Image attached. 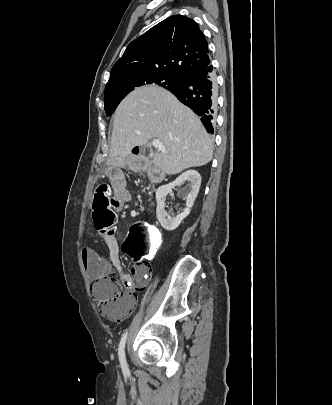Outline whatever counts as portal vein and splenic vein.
Here are the masks:
<instances>
[{"instance_id": "portal-vein-and-splenic-vein-1", "label": "portal vein and splenic vein", "mask_w": 332, "mask_h": 405, "mask_svg": "<svg viewBox=\"0 0 332 405\" xmlns=\"http://www.w3.org/2000/svg\"><path fill=\"white\" fill-rule=\"evenodd\" d=\"M152 145L154 148H156L157 150L163 152V153H167L166 148L164 147V145L160 142V140L158 139H153L152 140Z\"/></svg>"}]
</instances>
